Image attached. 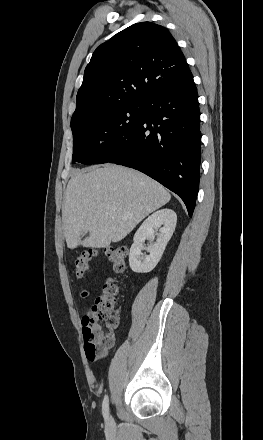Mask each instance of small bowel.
<instances>
[{
	"label": "small bowel",
	"mask_w": 263,
	"mask_h": 440,
	"mask_svg": "<svg viewBox=\"0 0 263 440\" xmlns=\"http://www.w3.org/2000/svg\"><path fill=\"white\" fill-rule=\"evenodd\" d=\"M88 296H89V291H88L87 289H82V290L79 292V297H80L81 299H86Z\"/></svg>",
	"instance_id": "obj_1"
}]
</instances>
